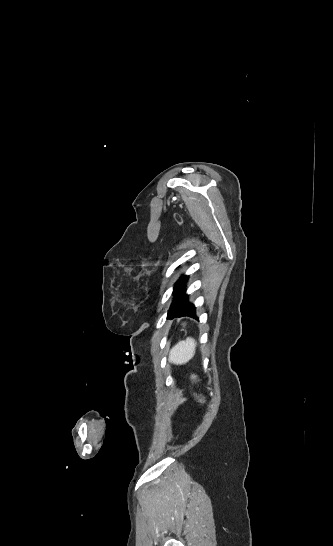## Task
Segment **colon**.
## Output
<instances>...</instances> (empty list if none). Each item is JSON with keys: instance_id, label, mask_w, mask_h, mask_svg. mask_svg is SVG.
<instances>
[{"instance_id": "obj_1", "label": "colon", "mask_w": 333, "mask_h": 546, "mask_svg": "<svg viewBox=\"0 0 333 546\" xmlns=\"http://www.w3.org/2000/svg\"><path fill=\"white\" fill-rule=\"evenodd\" d=\"M191 379H192V381L197 382V377L195 375H191ZM196 400L200 404H205V402H206V398L204 397V395L202 393H198L196 395Z\"/></svg>"}]
</instances>
